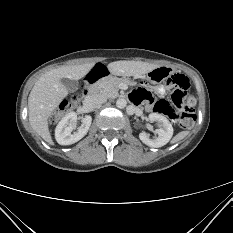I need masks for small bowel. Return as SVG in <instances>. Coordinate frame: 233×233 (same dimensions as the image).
<instances>
[{
    "label": "small bowel",
    "instance_id": "small-bowel-1",
    "mask_svg": "<svg viewBox=\"0 0 233 233\" xmlns=\"http://www.w3.org/2000/svg\"><path fill=\"white\" fill-rule=\"evenodd\" d=\"M165 91L166 89L163 86H159L156 88V92L160 95L164 94ZM131 98L134 103L138 104L141 101L148 100L150 98V92L145 89L137 90L131 95ZM149 109L154 111L151 104L149 105ZM135 112L139 113L140 111L139 109H135Z\"/></svg>",
    "mask_w": 233,
    "mask_h": 233
}]
</instances>
